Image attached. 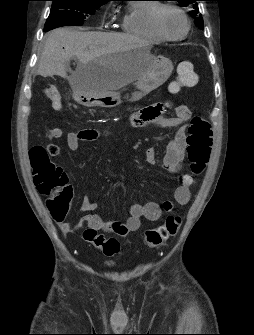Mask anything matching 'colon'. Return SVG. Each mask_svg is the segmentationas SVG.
I'll use <instances>...</instances> for the list:
<instances>
[{
	"label": "colon",
	"instance_id": "1",
	"mask_svg": "<svg viewBox=\"0 0 254 335\" xmlns=\"http://www.w3.org/2000/svg\"><path fill=\"white\" fill-rule=\"evenodd\" d=\"M176 72L177 77L171 86L172 91L196 83L197 77L192 62L183 61L179 63ZM45 94L54 109L62 108L61 94L57 88L48 87ZM186 142L190 170L193 175H199L204 171L211 155L213 135L210 124L202 117L192 118L188 127ZM55 153L56 150L53 154ZM50 156L51 153L42 145L34 146L29 150V161L34 183L42 195L49 196L46 205L51 214H65L72 199L71 192L66 190L67 175L61 167L51 162ZM180 226L181 217L174 214L169 215L164 223L145 232L144 244L149 248L160 246L174 237ZM83 237L96 248L101 249L106 256H114L120 250L117 239L105 238L94 229H86Z\"/></svg>",
	"mask_w": 254,
	"mask_h": 335
}]
</instances>
